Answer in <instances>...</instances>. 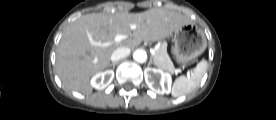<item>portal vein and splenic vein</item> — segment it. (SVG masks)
Returning <instances> with one entry per match:
<instances>
[{
    "label": "portal vein and splenic vein",
    "instance_id": "portal-vein-and-splenic-vein-1",
    "mask_svg": "<svg viewBox=\"0 0 276 120\" xmlns=\"http://www.w3.org/2000/svg\"><path fill=\"white\" fill-rule=\"evenodd\" d=\"M131 29H136V25H131ZM127 36L126 35H116L115 38H114V42L118 43L120 41H122L123 39H125ZM92 45H101L99 42H95V41H92L91 42ZM104 46H107L108 43H105L103 44ZM151 54L154 55L155 54V50L154 49H151L150 50ZM179 70H175V73H178Z\"/></svg>",
    "mask_w": 276,
    "mask_h": 120
}]
</instances>
